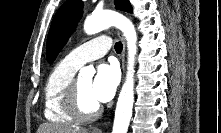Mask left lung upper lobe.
<instances>
[{
	"label": "left lung upper lobe",
	"mask_w": 221,
	"mask_h": 133,
	"mask_svg": "<svg viewBox=\"0 0 221 133\" xmlns=\"http://www.w3.org/2000/svg\"><path fill=\"white\" fill-rule=\"evenodd\" d=\"M115 5L116 9L132 12V7L128 0H115ZM82 7L83 2L81 0H68L55 14L46 46V56L49 63H53L72 32L75 31L83 13Z\"/></svg>",
	"instance_id": "obj_1"
}]
</instances>
